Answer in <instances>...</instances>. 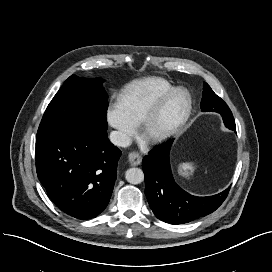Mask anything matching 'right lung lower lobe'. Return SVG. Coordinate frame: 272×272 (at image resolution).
<instances>
[{
  "label": "right lung lower lobe",
  "mask_w": 272,
  "mask_h": 272,
  "mask_svg": "<svg viewBox=\"0 0 272 272\" xmlns=\"http://www.w3.org/2000/svg\"><path fill=\"white\" fill-rule=\"evenodd\" d=\"M121 151L106 130L74 127L36 136V170L52 202L66 214L87 220L107 206Z\"/></svg>",
  "instance_id": "98d812e1"
}]
</instances>
